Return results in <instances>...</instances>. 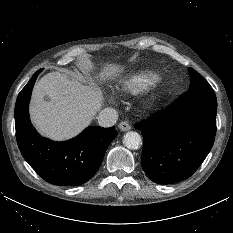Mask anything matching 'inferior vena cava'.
<instances>
[{"label": "inferior vena cava", "instance_id": "inferior-vena-cava-1", "mask_svg": "<svg viewBox=\"0 0 233 233\" xmlns=\"http://www.w3.org/2000/svg\"><path fill=\"white\" fill-rule=\"evenodd\" d=\"M98 123L102 127H111L116 124L118 120V112L113 108H104L99 113Z\"/></svg>", "mask_w": 233, "mask_h": 233}]
</instances>
